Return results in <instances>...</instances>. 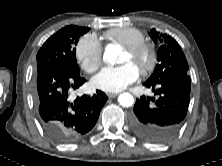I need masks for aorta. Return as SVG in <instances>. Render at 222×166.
Instances as JSON below:
<instances>
[{"label": "aorta", "instance_id": "obj_1", "mask_svg": "<svg viewBox=\"0 0 222 166\" xmlns=\"http://www.w3.org/2000/svg\"><path fill=\"white\" fill-rule=\"evenodd\" d=\"M121 54V49L115 45H108L105 49L103 60L110 64L118 62V57ZM118 102L123 107H130L134 103V98L130 93H122L118 96Z\"/></svg>", "mask_w": 222, "mask_h": 166}]
</instances>
